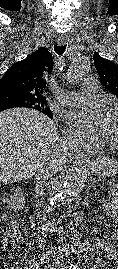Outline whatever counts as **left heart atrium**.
<instances>
[{
	"label": "left heart atrium",
	"mask_w": 118,
	"mask_h": 269,
	"mask_svg": "<svg viewBox=\"0 0 118 269\" xmlns=\"http://www.w3.org/2000/svg\"><path fill=\"white\" fill-rule=\"evenodd\" d=\"M105 117L101 106H83L70 112L68 121L81 133L98 134Z\"/></svg>",
	"instance_id": "obj_1"
}]
</instances>
